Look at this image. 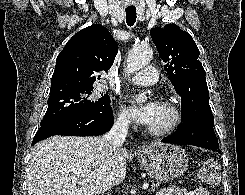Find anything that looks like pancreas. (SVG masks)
I'll list each match as a JSON object with an SVG mask.
<instances>
[{
    "mask_svg": "<svg viewBox=\"0 0 245 195\" xmlns=\"http://www.w3.org/2000/svg\"><path fill=\"white\" fill-rule=\"evenodd\" d=\"M159 185H160L159 183L155 184V183L153 182V183H152V189L157 188Z\"/></svg>",
    "mask_w": 245,
    "mask_h": 195,
    "instance_id": "cf45deb5",
    "label": "pancreas"
}]
</instances>
